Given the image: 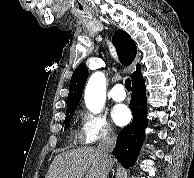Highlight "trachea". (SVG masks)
Wrapping results in <instances>:
<instances>
[{
  "label": "trachea",
  "mask_w": 194,
  "mask_h": 178,
  "mask_svg": "<svg viewBox=\"0 0 194 178\" xmlns=\"http://www.w3.org/2000/svg\"><path fill=\"white\" fill-rule=\"evenodd\" d=\"M125 88L127 91L131 90V80L129 78L125 80Z\"/></svg>",
  "instance_id": "1"
}]
</instances>
